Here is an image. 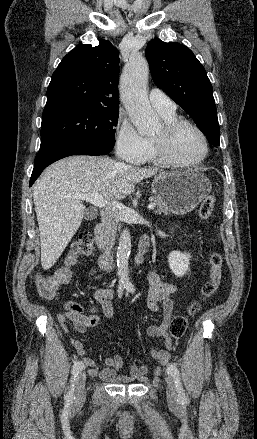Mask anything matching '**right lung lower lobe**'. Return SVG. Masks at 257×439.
<instances>
[{"instance_id":"98d812e1","label":"right lung lower lobe","mask_w":257,"mask_h":439,"mask_svg":"<svg viewBox=\"0 0 257 439\" xmlns=\"http://www.w3.org/2000/svg\"><path fill=\"white\" fill-rule=\"evenodd\" d=\"M113 146L80 140L59 141L40 147L34 161V169L30 179V186L39 177L41 172L51 163L71 155H106Z\"/></svg>"}]
</instances>
